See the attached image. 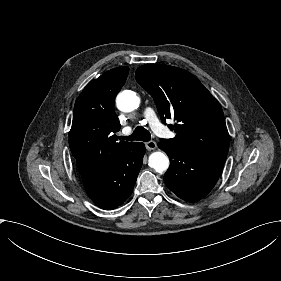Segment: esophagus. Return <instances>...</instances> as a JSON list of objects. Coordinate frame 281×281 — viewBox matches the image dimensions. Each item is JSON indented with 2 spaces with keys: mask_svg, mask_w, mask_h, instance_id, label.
I'll list each match as a JSON object with an SVG mask.
<instances>
[{
  "mask_svg": "<svg viewBox=\"0 0 281 281\" xmlns=\"http://www.w3.org/2000/svg\"><path fill=\"white\" fill-rule=\"evenodd\" d=\"M145 146L149 150H155L157 148V144L155 141H149L145 143Z\"/></svg>",
  "mask_w": 281,
  "mask_h": 281,
  "instance_id": "obj_1",
  "label": "esophagus"
}]
</instances>
